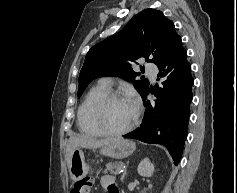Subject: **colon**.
<instances>
[{
    "label": "colon",
    "mask_w": 237,
    "mask_h": 193,
    "mask_svg": "<svg viewBox=\"0 0 237 193\" xmlns=\"http://www.w3.org/2000/svg\"><path fill=\"white\" fill-rule=\"evenodd\" d=\"M93 185V179L91 176L77 180L72 188L70 193H89Z\"/></svg>",
    "instance_id": "5ec220e1"
}]
</instances>
